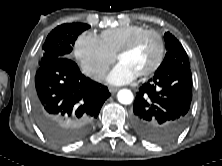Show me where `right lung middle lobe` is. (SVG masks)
I'll return each mask as SVG.
<instances>
[{
    "label": "right lung middle lobe",
    "instance_id": "dd1d6c3e",
    "mask_svg": "<svg viewBox=\"0 0 222 166\" xmlns=\"http://www.w3.org/2000/svg\"><path fill=\"white\" fill-rule=\"evenodd\" d=\"M88 28L90 26L87 24L69 23L60 25L52 30L43 45L44 53L39 65L54 59L68 57L79 34Z\"/></svg>",
    "mask_w": 222,
    "mask_h": 166
}]
</instances>
